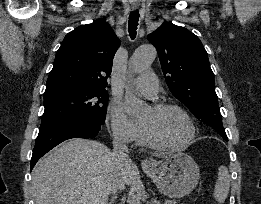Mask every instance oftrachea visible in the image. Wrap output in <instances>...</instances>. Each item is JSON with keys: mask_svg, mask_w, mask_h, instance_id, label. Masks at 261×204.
<instances>
[{"mask_svg": "<svg viewBox=\"0 0 261 204\" xmlns=\"http://www.w3.org/2000/svg\"><path fill=\"white\" fill-rule=\"evenodd\" d=\"M138 21H139V12L137 10L131 12L128 21V32L131 39H135L136 37Z\"/></svg>", "mask_w": 261, "mask_h": 204, "instance_id": "trachea-1", "label": "trachea"}]
</instances>
